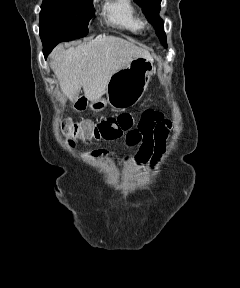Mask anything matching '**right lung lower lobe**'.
<instances>
[{
	"mask_svg": "<svg viewBox=\"0 0 240 288\" xmlns=\"http://www.w3.org/2000/svg\"><path fill=\"white\" fill-rule=\"evenodd\" d=\"M53 48L52 47H43V53L45 58L48 56V54L51 52Z\"/></svg>",
	"mask_w": 240,
	"mask_h": 288,
	"instance_id": "98d812e1",
	"label": "right lung lower lobe"
}]
</instances>
